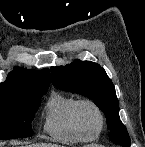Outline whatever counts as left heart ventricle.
<instances>
[{"mask_svg":"<svg viewBox=\"0 0 145 147\" xmlns=\"http://www.w3.org/2000/svg\"><path fill=\"white\" fill-rule=\"evenodd\" d=\"M84 120L89 129V132L95 133L98 127V120L95 113L91 109L84 110Z\"/></svg>","mask_w":145,"mask_h":147,"instance_id":"1","label":"left heart ventricle"}]
</instances>
